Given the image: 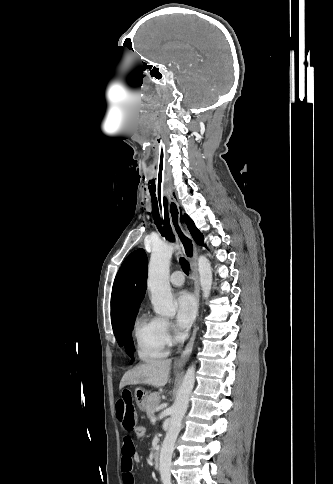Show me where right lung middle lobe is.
Segmentation results:
<instances>
[{"instance_id": "obj_1", "label": "right lung middle lobe", "mask_w": 333, "mask_h": 484, "mask_svg": "<svg viewBox=\"0 0 333 484\" xmlns=\"http://www.w3.org/2000/svg\"><path fill=\"white\" fill-rule=\"evenodd\" d=\"M137 312L130 314L125 318L117 328L113 329L115 337L120 347L124 346L128 355L131 357V362L134 360V343L132 340V327Z\"/></svg>"}]
</instances>
